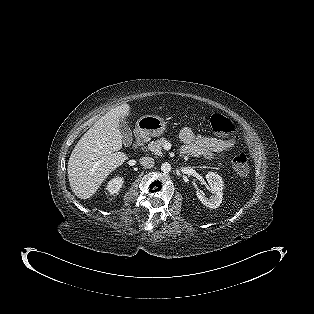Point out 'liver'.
<instances>
[{"instance_id": "obj_1", "label": "liver", "mask_w": 314, "mask_h": 314, "mask_svg": "<svg viewBox=\"0 0 314 314\" xmlns=\"http://www.w3.org/2000/svg\"><path fill=\"white\" fill-rule=\"evenodd\" d=\"M130 114L126 103L107 112L80 138L68 161V179L79 199L91 198L128 156L120 152L122 135L119 122Z\"/></svg>"}]
</instances>
